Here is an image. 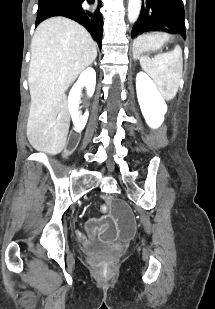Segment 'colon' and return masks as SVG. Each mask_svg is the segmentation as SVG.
Segmentation results:
<instances>
[{
    "instance_id": "5ec220e1",
    "label": "colon",
    "mask_w": 215,
    "mask_h": 309,
    "mask_svg": "<svg viewBox=\"0 0 215 309\" xmlns=\"http://www.w3.org/2000/svg\"><path fill=\"white\" fill-rule=\"evenodd\" d=\"M112 248H113V250L116 251L115 254H114V255H116V254H120L121 252H123V250H125L126 246H125V244L120 242V243L114 244L112 246Z\"/></svg>"
}]
</instances>
